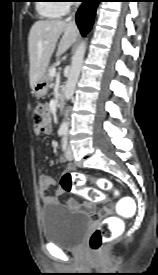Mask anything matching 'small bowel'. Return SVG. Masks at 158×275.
Masks as SVG:
<instances>
[{"mask_svg": "<svg viewBox=\"0 0 158 275\" xmlns=\"http://www.w3.org/2000/svg\"><path fill=\"white\" fill-rule=\"evenodd\" d=\"M50 131H51V126L49 125V127L44 132H39L36 130V133L38 135L42 133L47 134ZM64 161H65L64 158H60V162H64ZM73 169H74V165H70L68 166L67 171L70 172ZM38 186H39V195L44 204L48 205V204L58 203L59 201L58 195L62 193L63 190L61 189L60 185L54 178L47 175H40L38 178ZM51 186H57L55 194L50 193L49 189ZM94 202L95 201L89 199L86 202L80 203L75 198H68L66 200V205L72 210L91 214L93 216H98V213L95 212Z\"/></svg>", "mask_w": 158, "mask_h": 275, "instance_id": "1", "label": "small bowel"}]
</instances>
